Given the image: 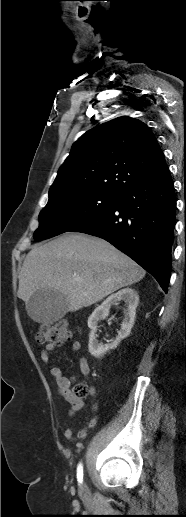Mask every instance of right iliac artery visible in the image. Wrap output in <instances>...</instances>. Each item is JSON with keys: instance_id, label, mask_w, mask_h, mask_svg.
Here are the masks:
<instances>
[{"instance_id": "right-iliac-artery-1", "label": "right iliac artery", "mask_w": 186, "mask_h": 517, "mask_svg": "<svg viewBox=\"0 0 186 517\" xmlns=\"http://www.w3.org/2000/svg\"><path fill=\"white\" fill-rule=\"evenodd\" d=\"M77 478L80 483L83 481V465L79 463L77 467Z\"/></svg>"}]
</instances>
